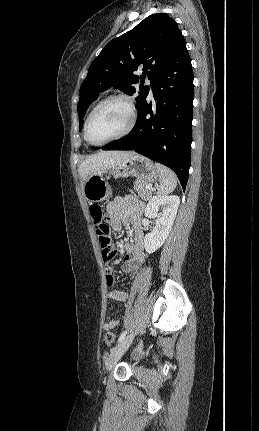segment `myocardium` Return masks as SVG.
Wrapping results in <instances>:
<instances>
[{
  "label": "myocardium",
  "mask_w": 259,
  "mask_h": 431,
  "mask_svg": "<svg viewBox=\"0 0 259 431\" xmlns=\"http://www.w3.org/2000/svg\"><path fill=\"white\" fill-rule=\"evenodd\" d=\"M112 100H120L126 105L128 112H129V122H128L127 126L125 127V129L123 131H121L119 134H117V135H115V136H113V137H111L105 141H102V142H93L90 139L89 132H88L90 121H91L93 115L95 114V112L102 105H104L107 102L112 101ZM136 121H137V114H136V109H135L133 99L129 95L124 94V93L111 94V95L105 97L104 99H102L100 102H98L96 104V106L88 114L86 121H85V124H84V138L92 146H102V145L108 144L110 142L124 138L125 136L130 134L136 125Z\"/></svg>",
  "instance_id": "myocardium-1"
}]
</instances>
